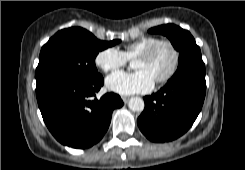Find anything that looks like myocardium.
Here are the masks:
<instances>
[{"mask_svg": "<svg viewBox=\"0 0 245 170\" xmlns=\"http://www.w3.org/2000/svg\"><path fill=\"white\" fill-rule=\"evenodd\" d=\"M161 45H166L170 48L172 55H173V63L171 65V68L169 69V71L163 77L155 80V82L158 84H163V83L168 82L175 75V73L178 69V66L180 63V53H179L178 49L176 48V46L170 40L158 39L157 41L152 43L148 48H146L145 50H143L142 52H140L136 56V59L150 58L153 55V53L155 52V50Z\"/></svg>", "mask_w": 245, "mask_h": 170, "instance_id": "obj_1", "label": "myocardium"}]
</instances>
